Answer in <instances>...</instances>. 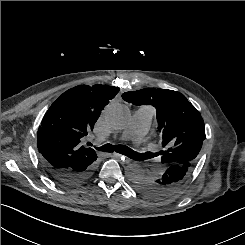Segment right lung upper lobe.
I'll return each mask as SVG.
<instances>
[{
	"label": "right lung upper lobe",
	"instance_id": "right-lung-upper-lobe-1",
	"mask_svg": "<svg viewBox=\"0 0 245 245\" xmlns=\"http://www.w3.org/2000/svg\"><path fill=\"white\" fill-rule=\"evenodd\" d=\"M118 92V87L105 85H80L64 92L50 106L37 132L42 162L62 170H81L94 163L97 155L83 146V139Z\"/></svg>",
	"mask_w": 245,
	"mask_h": 245
}]
</instances>
